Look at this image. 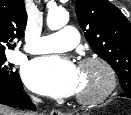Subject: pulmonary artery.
Instances as JSON below:
<instances>
[{
	"instance_id": "obj_1",
	"label": "pulmonary artery",
	"mask_w": 131,
	"mask_h": 115,
	"mask_svg": "<svg viewBox=\"0 0 131 115\" xmlns=\"http://www.w3.org/2000/svg\"><path fill=\"white\" fill-rule=\"evenodd\" d=\"M79 41L78 31L70 26L42 36L25 46V51L32 54L63 52L72 49Z\"/></svg>"
}]
</instances>
